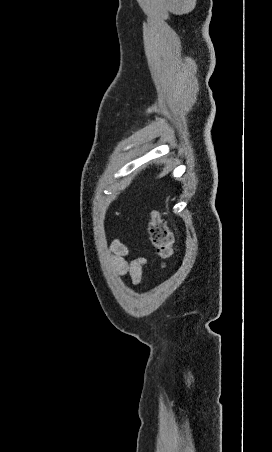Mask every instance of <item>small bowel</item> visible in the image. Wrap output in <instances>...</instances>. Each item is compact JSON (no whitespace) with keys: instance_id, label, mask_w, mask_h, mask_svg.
<instances>
[{"instance_id":"1","label":"small bowel","mask_w":272,"mask_h":452,"mask_svg":"<svg viewBox=\"0 0 272 452\" xmlns=\"http://www.w3.org/2000/svg\"><path fill=\"white\" fill-rule=\"evenodd\" d=\"M129 251L120 240L112 241L109 248L110 263L120 276L129 275L133 284H138L142 278V268L147 260L143 257L128 261Z\"/></svg>"}]
</instances>
